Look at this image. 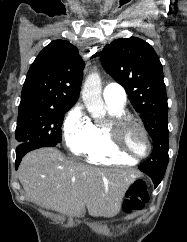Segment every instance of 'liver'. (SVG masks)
<instances>
[{
	"label": "liver",
	"instance_id": "liver-1",
	"mask_svg": "<svg viewBox=\"0 0 187 242\" xmlns=\"http://www.w3.org/2000/svg\"><path fill=\"white\" fill-rule=\"evenodd\" d=\"M138 171L101 169L70 160L57 149L43 148L28 153L18 176L26 197L60 213L83 217H114ZM86 207V208H85Z\"/></svg>",
	"mask_w": 187,
	"mask_h": 242
}]
</instances>
